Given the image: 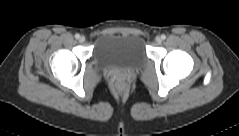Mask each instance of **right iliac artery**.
<instances>
[{
	"instance_id": "82829eb1",
	"label": "right iliac artery",
	"mask_w": 239,
	"mask_h": 136,
	"mask_svg": "<svg viewBox=\"0 0 239 136\" xmlns=\"http://www.w3.org/2000/svg\"><path fill=\"white\" fill-rule=\"evenodd\" d=\"M79 37H80L79 34H76V35H75V38H76V39H79Z\"/></svg>"
}]
</instances>
